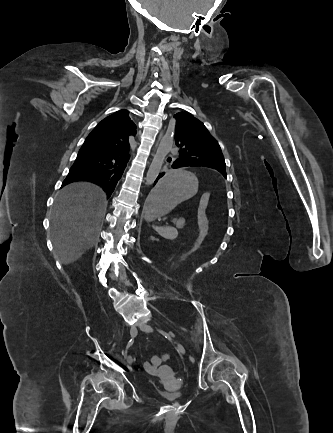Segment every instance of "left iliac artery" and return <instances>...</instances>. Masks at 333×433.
<instances>
[{
    "instance_id": "44dca946",
    "label": "left iliac artery",
    "mask_w": 333,
    "mask_h": 433,
    "mask_svg": "<svg viewBox=\"0 0 333 433\" xmlns=\"http://www.w3.org/2000/svg\"><path fill=\"white\" fill-rule=\"evenodd\" d=\"M158 331H159L163 336H165L166 338L170 339V335H169L168 333H166L165 331L160 330V329H158ZM172 335H173V334H172ZM192 362H193V361H192Z\"/></svg>"
}]
</instances>
